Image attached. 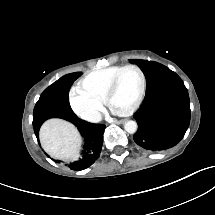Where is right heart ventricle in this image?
Here are the masks:
<instances>
[{"label": "right heart ventricle", "mask_w": 215, "mask_h": 215, "mask_svg": "<svg viewBox=\"0 0 215 215\" xmlns=\"http://www.w3.org/2000/svg\"><path fill=\"white\" fill-rule=\"evenodd\" d=\"M113 64H106L97 71L89 73L81 80V91L90 97H103L116 76Z\"/></svg>", "instance_id": "1"}]
</instances>
